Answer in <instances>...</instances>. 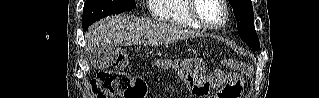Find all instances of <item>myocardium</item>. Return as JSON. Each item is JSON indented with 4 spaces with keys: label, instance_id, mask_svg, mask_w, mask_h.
Listing matches in <instances>:
<instances>
[{
    "label": "myocardium",
    "instance_id": "obj_1",
    "mask_svg": "<svg viewBox=\"0 0 319 98\" xmlns=\"http://www.w3.org/2000/svg\"><path fill=\"white\" fill-rule=\"evenodd\" d=\"M199 0H189V13L191 17L202 27L210 30H217L225 26L229 20V10L227 4L224 0H217L218 3L222 6L224 10V17L223 20L218 24H210L206 20H204L197 12V2Z\"/></svg>",
    "mask_w": 319,
    "mask_h": 98
}]
</instances>
